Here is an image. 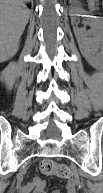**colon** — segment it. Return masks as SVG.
I'll return each instance as SVG.
<instances>
[{"label":"colon","mask_w":103,"mask_h":193,"mask_svg":"<svg viewBox=\"0 0 103 193\" xmlns=\"http://www.w3.org/2000/svg\"><path fill=\"white\" fill-rule=\"evenodd\" d=\"M40 170L44 175L57 176L64 180H69L73 177V171L69 166L57 163L52 159L43 160L40 164Z\"/></svg>","instance_id":"5ec220e1"}]
</instances>
